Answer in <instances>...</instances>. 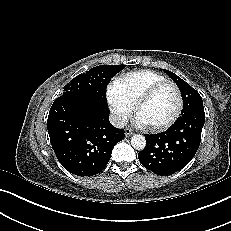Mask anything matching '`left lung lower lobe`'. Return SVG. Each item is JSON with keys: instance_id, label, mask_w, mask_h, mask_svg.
I'll list each match as a JSON object with an SVG mask.
<instances>
[{"instance_id": "obj_1", "label": "left lung lower lobe", "mask_w": 231, "mask_h": 231, "mask_svg": "<svg viewBox=\"0 0 231 231\" xmlns=\"http://www.w3.org/2000/svg\"><path fill=\"white\" fill-rule=\"evenodd\" d=\"M205 121L204 110H195L182 118L180 131L145 135L146 147L140 151V163L157 175H171L182 169L194 157L201 140Z\"/></svg>"}]
</instances>
